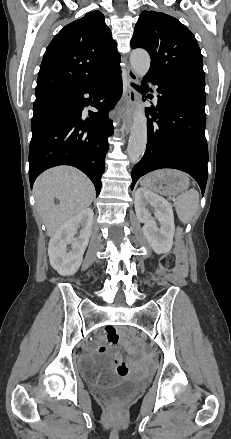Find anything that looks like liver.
Wrapping results in <instances>:
<instances>
[{"label":"liver","instance_id":"1","mask_svg":"<svg viewBox=\"0 0 231 439\" xmlns=\"http://www.w3.org/2000/svg\"><path fill=\"white\" fill-rule=\"evenodd\" d=\"M36 208L52 237L70 218L87 209L95 195L89 178L76 168L60 166L42 173L34 183ZM59 204L55 205L54 200Z\"/></svg>","mask_w":231,"mask_h":439}]
</instances>
